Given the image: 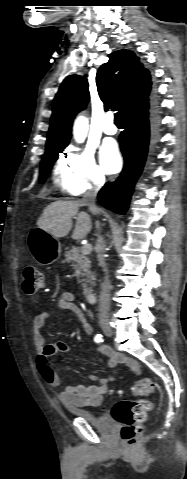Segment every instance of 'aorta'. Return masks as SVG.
Segmentation results:
<instances>
[{"mask_svg":"<svg viewBox=\"0 0 187 479\" xmlns=\"http://www.w3.org/2000/svg\"><path fill=\"white\" fill-rule=\"evenodd\" d=\"M87 132H88V119L85 118L84 116H79L76 119L74 123V127H73V135L75 140L78 143H82L87 136Z\"/></svg>","mask_w":187,"mask_h":479,"instance_id":"762f6f07","label":"aorta"}]
</instances>
